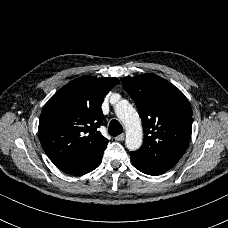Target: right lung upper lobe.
I'll use <instances>...</instances> for the list:
<instances>
[{
    "label": "right lung upper lobe",
    "mask_w": 228,
    "mask_h": 228,
    "mask_svg": "<svg viewBox=\"0 0 228 228\" xmlns=\"http://www.w3.org/2000/svg\"><path fill=\"white\" fill-rule=\"evenodd\" d=\"M118 83L117 78L80 77L45 104L39 120V139L58 168L79 166L106 148L108 140L97 130L103 121L101 104Z\"/></svg>",
    "instance_id": "cb5924a9"
}]
</instances>
